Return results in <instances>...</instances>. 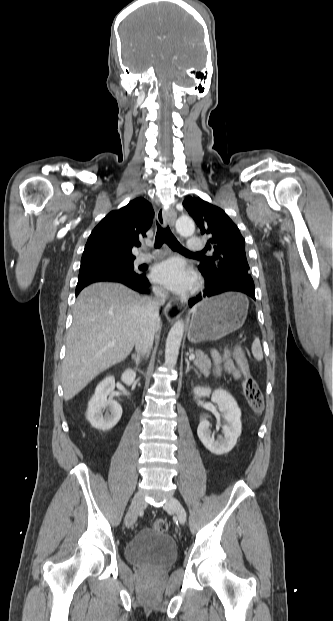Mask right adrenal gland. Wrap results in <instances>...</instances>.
<instances>
[{
    "instance_id": "1",
    "label": "right adrenal gland",
    "mask_w": 333,
    "mask_h": 621,
    "mask_svg": "<svg viewBox=\"0 0 333 621\" xmlns=\"http://www.w3.org/2000/svg\"><path fill=\"white\" fill-rule=\"evenodd\" d=\"M131 357L134 360L136 367H138L139 363L141 362L139 355L132 354Z\"/></svg>"
}]
</instances>
